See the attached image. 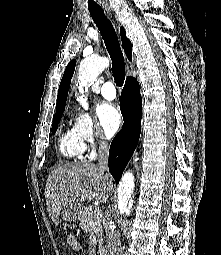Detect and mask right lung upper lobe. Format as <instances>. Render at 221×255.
Returning <instances> with one entry per match:
<instances>
[{
  "label": "right lung upper lobe",
  "instance_id": "cb5924a9",
  "mask_svg": "<svg viewBox=\"0 0 221 255\" xmlns=\"http://www.w3.org/2000/svg\"><path fill=\"white\" fill-rule=\"evenodd\" d=\"M120 35H121V40L123 44L124 51L128 57L129 60L132 58V51H131V42L130 40L126 37V32L123 27L120 28ZM75 64L76 61L72 60L66 67L64 75L62 77L59 90H58V97H57V106H56V113L64 111L65 109V104H66V99H67V94L71 82V78L75 69Z\"/></svg>",
  "mask_w": 221,
  "mask_h": 255
}]
</instances>
